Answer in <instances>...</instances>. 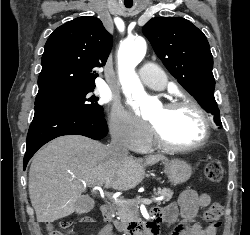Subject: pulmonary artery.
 <instances>
[{
  "mask_svg": "<svg viewBox=\"0 0 250 235\" xmlns=\"http://www.w3.org/2000/svg\"><path fill=\"white\" fill-rule=\"evenodd\" d=\"M142 81L153 90H164L166 88V75L158 68L152 65L143 67Z\"/></svg>",
  "mask_w": 250,
  "mask_h": 235,
  "instance_id": "pulmonary-artery-1",
  "label": "pulmonary artery"
}]
</instances>
